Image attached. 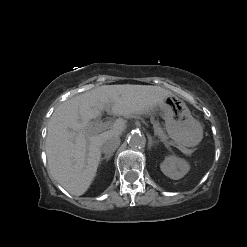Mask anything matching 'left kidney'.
Segmentation results:
<instances>
[{
    "label": "left kidney",
    "instance_id": "obj_1",
    "mask_svg": "<svg viewBox=\"0 0 247 247\" xmlns=\"http://www.w3.org/2000/svg\"><path fill=\"white\" fill-rule=\"evenodd\" d=\"M160 169L167 177L178 180L188 173L190 165L186 160L172 155L165 158Z\"/></svg>",
    "mask_w": 247,
    "mask_h": 247
}]
</instances>
